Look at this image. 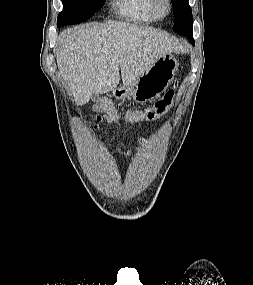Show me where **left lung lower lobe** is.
Listing matches in <instances>:
<instances>
[{
	"label": "left lung lower lobe",
	"mask_w": 253,
	"mask_h": 285,
	"mask_svg": "<svg viewBox=\"0 0 253 285\" xmlns=\"http://www.w3.org/2000/svg\"><path fill=\"white\" fill-rule=\"evenodd\" d=\"M187 38L192 42V45H194L193 31L191 33L187 34Z\"/></svg>",
	"instance_id": "1"
}]
</instances>
